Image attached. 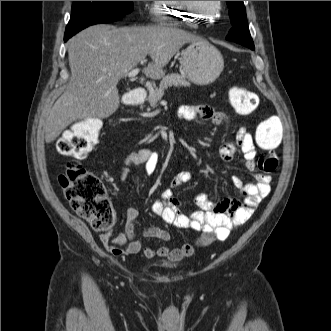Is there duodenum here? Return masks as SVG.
<instances>
[{
  "label": "duodenum",
  "mask_w": 331,
  "mask_h": 331,
  "mask_svg": "<svg viewBox=\"0 0 331 331\" xmlns=\"http://www.w3.org/2000/svg\"><path fill=\"white\" fill-rule=\"evenodd\" d=\"M126 99L131 105L142 104L145 100L143 88H136L126 94Z\"/></svg>",
  "instance_id": "duodenum-1"
}]
</instances>
